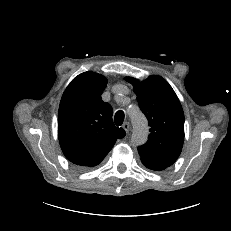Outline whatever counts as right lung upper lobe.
Segmentation results:
<instances>
[{
	"label": "right lung upper lobe",
	"mask_w": 231,
	"mask_h": 231,
	"mask_svg": "<svg viewBox=\"0 0 231 231\" xmlns=\"http://www.w3.org/2000/svg\"><path fill=\"white\" fill-rule=\"evenodd\" d=\"M106 84L103 75L87 71L71 81L61 98L59 143L65 157L76 165H98L116 140L126 135L115 127L110 104L101 99Z\"/></svg>",
	"instance_id": "cb5924a9"
}]
</instances>
